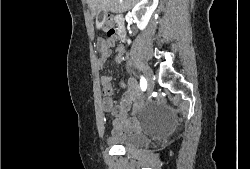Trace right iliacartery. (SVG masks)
Segmentation results:
<instances>
[{"label": "right iliac artery", "instance_id": "right-iliac-artery-1", "mask_svg": "<svg viewBox=\"0 0 250 169\" xmlns=\"http://www.w3.org/2000/svg\"><path fill=\"white\" fill-rule=\"evenodd\" d=\"M140 87L142 91H145L147 89V81L143 76H141Z\"/></svg>", "mask_w": 250, "mask_h": 169}]
</instances>
